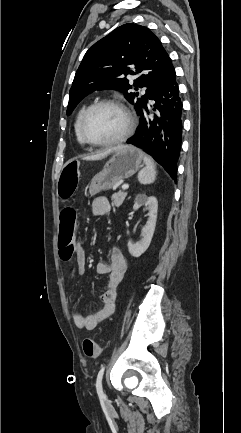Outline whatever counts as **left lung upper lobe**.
<instances>
[{"instance_id":"5c2ea615","label":"left lung upper lobe","mask_w":241,"mask_h":433,"mask_svg":"<svg viewBox=\"0 0 241 433\" xmlns=\"http://www.w3.org/2000/svg\"><path fill=\"white\" fill-rule=\"evenodd\" d=\"M171 59L160 40L148 28L124 24L88 49L75 74L69 94L67 114L95 90L114 89L125 94L135 104L140 115L153 90L162 81ZM127 75L138 78L131 85ZM147 87L145 95L129 92Z\"/></svg>"}]
</instances>
